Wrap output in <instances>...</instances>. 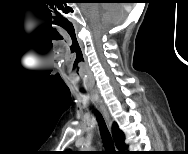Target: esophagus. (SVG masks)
I'll use <instances>...</instances> for the list:
<instances>
[{
	"mask_svg": "<svg viewBox=\"0 0 188 154\" xmlns=\"http://www.w3.org/2000/svg\"><path fill=\"white\" fill-rule=\"evenodd\" d=\"M100 108H101L103 116L105 117V119L108 122L109 126H111L112 122H111V119H110V116H109V113H108L107 109L105 108V106L102 103H100Z\"/></svg>",
	"mask_w": 188,
	"mask_h": 154,
	"instance_id": "esophagus-1",
	"label": "esophagus"
}]
</instances>
